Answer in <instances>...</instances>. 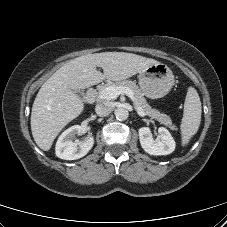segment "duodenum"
Masks as SVG:
<instances>
[{
	"mask_svg": "<svg viewBox=\"0 0 227 227\" xmlns=\"http://www.w3.org/2000/svg\"><path fill=\"white\" fill-rule=\"evenodd\" d=\"M96 99V93L93 88H90L87 92V102L88 103H94Z\"/></svg>",
	"mask_w": 227,
	"mask_h": 227,
	"instance_id": "duodenum-1",
	"label": "duodenum"
}]
</instances>
